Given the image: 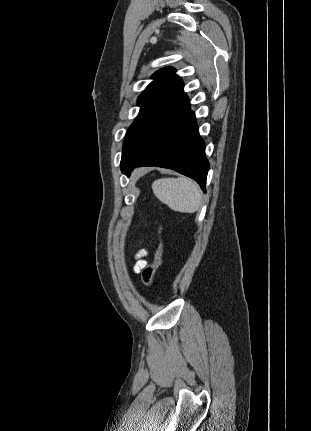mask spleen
Returning <instances> with one entry per match:
<instances>
[{
    "mask_svg": "<svg viewBox=\"0 0 311 431\" xmlns=\"http://www.w3.org/2000/svg\"><path fill=\"white\" fill-rule=\"evenodd\" d=\"M154 196L170 210L181 214H193L202 206L201 190L189 178H161L152 184Z\"/></svg>",
    "mask_w": 311,
    "mask_h": 431,
    "instance_id": "1",
    "label": "spleen"
}]
</instances>
